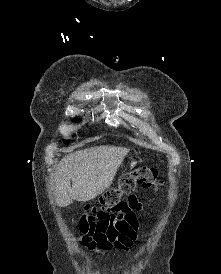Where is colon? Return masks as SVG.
I'll use <instances>...</instances> for the list:
<instances>
[{
	"mask_svg": "<svg viewBox=\"0 0 221 274\" xmlns=\"http://www.w3.org/2000/svg\"><path fill=\"white\" fill-rule=\"evenodd\" d=\"M160 185L157 172L153 168L139 167L121 176L118 186L110 188L100 197L101 207H113L121 202L125 195L131 194L137 186L157 190ZM92 210L93 208H87Z\"/></svg>",
	"mask_w": 221,
	"mask_h": 274,
	"instance_id": "5ec220e1",
	"label": "colon"
}]
</instances>
